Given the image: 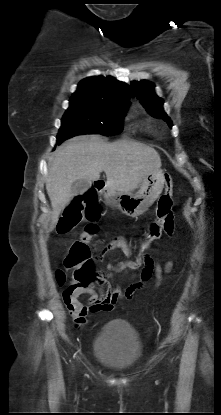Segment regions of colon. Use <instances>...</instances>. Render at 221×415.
Returning <instances> with one entry per match:
<instances>
[{"mask_svg":"<svg viewBox=\"0 0 221 415\" xmlns=\"http://www.w3.org/2000/svg\"><path fill=\"white\" fill-rule=\"evenodd\" d=\"M172 193L173 181L170 175H165V192L158 200L156 219L149 223L144 236L140 242V248L133 258L137 262L136 269L143 271L145 269V250L160 234L169 226L173 220L172 213ZM98 216V210L95 204L92 192H87L76 197L64 211L58 225L57 234L63 235L72 232L76 226L87 219L89 224L85 226L80 239L76 240L70 247L64 258V267L67 271H71L75 283L80 285H88L99 279L96 271V258L92 253L87 241L99 232L98 226L92 222ZM108 266H112L113 262L108 261ZM107 277L111 276L110 272L106 273ZM56 281L59 285H63L66 281V272L57 270L55 273Z\"/></svg>","mask_w":221,"mask_h":415,"instance_id":"1","label":"colon"}]
</instances>
